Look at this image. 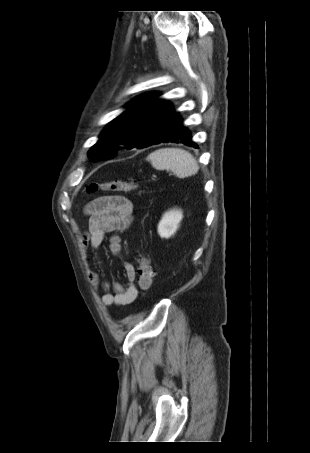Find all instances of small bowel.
<instances>
[{"label":"small bowel","mask_w":310,"mask_h":453,"mask_svg":"<svg viewBox=\"0 0 310 453\" xmlns=\"http://www.w3.org/2000/svg\"><path fill=\"white\" fill-rule=\"evenodd\" d=\"M85 214L87 220V232L83 237V245L86 250V259H89L88 249L97 250L107 234H110V249L118 254L124 251L125 261L123 267L127 278L125 287L118 283H112L101 279L100 275L87 264L88 279L95 289H102V304L106 307L116 305L125 306L131 304L138 295L135 286L136 271L134 265L128 260L131 250L124 243L120 234L126 232L133 222V204L121 195L102 196L90 202ZM98 264L101 260L96 257Z\"/></svg>","instance_id":"c3829d8e"}]
</instances>
